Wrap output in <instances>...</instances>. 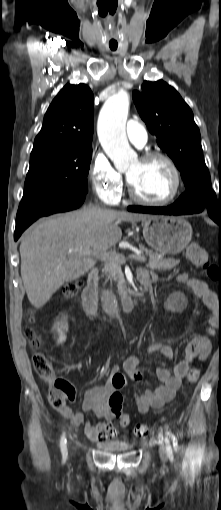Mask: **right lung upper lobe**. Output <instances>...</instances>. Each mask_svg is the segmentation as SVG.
I'll list each match as a JSON object with an SVG mask.
<instances>
[{
	"mask_svg": "<svg viewBox=\"0 0 221 510\" xmlns=\"http://www.w3.org/2000/svg\"><path fill=\"white\" fill-rule=\"evenodd\" d=\"M93 103L87 85H65L45 114L30 157L91 145Z\"/></svg>",
	"mask_w": 221,
	"mask_h": 510,
	"instance_id": "cb5924a9",
	"label": "right lung upper lobe"
}]
</instances>
